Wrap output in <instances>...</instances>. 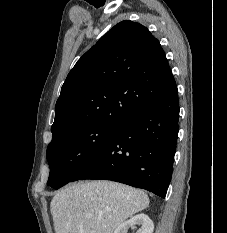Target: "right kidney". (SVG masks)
I'll list each match as a JSON object with an SVG mask.
<instances>
[{
  "label": "right kidney",
  "mask_w": 227,
  "mask_h": 233,
  "mask_svg": "<svg viewBox=\"0 0 227 233\" xmlns=\"http://www.w3.org/2000/svg\"><path fill=\"white\" fill-rule=\"evenodd\" d=\"M136 225L141 226L140 233H153V221L149 218L148 215L144 213L137 214L129 220L123 222L116 228L114 233H127L129 228L134 227Z\"/></svg>",
  "instance_id": "obj_1"
}]
</instances>
